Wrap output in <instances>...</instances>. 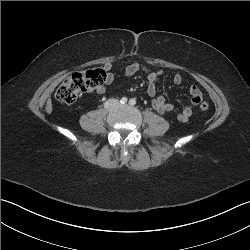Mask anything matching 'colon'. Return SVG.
I'll return each mask as SVG.
<instances>
[{
    "instance_id": "colon-1",
    "label": "colon",
    "mask_w": 250,
    "mask_h": 250,
    "mask_svg": "<svg viewBox=\"0 0 250 250\" xmlns=\"http://www.w3.org/2000/svg\"><path fill=\"white\" fill-rule=\"evenodd\" d=\"M105 80V72L101 69L77 72L60 84L55 96L60 102L71 104L76 101L80 94L95 90L103 85ZM199 108L202 112H206L209 109V104L202 102Z\"/></svg>"
}]
</instances>
